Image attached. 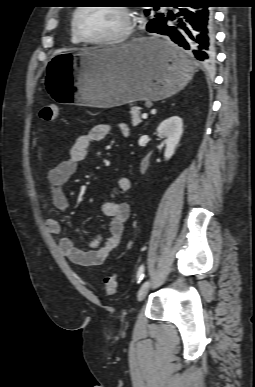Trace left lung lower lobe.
<instances>
[{"mask_svg": "<svg viewBox=\"0 0 255 387\" xmlns=\"http://www.w3.org/2000/svg\"><path fill=\"white\" fill-rule=\"evenodd\" d=\"M214 0H175L170 4L179 8L175 15L158 17L147 24V31L166 35V41L155 40L156 48L166 57L179 64L184 59L178 47L188 50L203 67L213 64L215 59L214 18L211 4ZM173 21V26L168 22Z\"/></svg>", "mask_w": 255, "mask_h": 387, "instance_id": "left-lung-lower-lobe-1", "label": "left lung lower lobe"}]
</instances>
